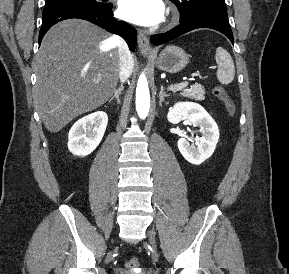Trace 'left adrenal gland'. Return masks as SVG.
I'll list each match as a JSON object with an SVG mask.
<instances>
[{
  "mask_svg": "<svg viewBox=\"0 0 289 274\" xmlns=\"http://www.w3.org/2000/svg\"><path fill=\"white\" fill-rule=\"evenodd\" d=\"M165 97H169V94L164 92L163 86H161V90L159 93V105L162 106V103L164 102Z\"/></svg>",
  "mask_w": 289,
  "mask_h": 274,
  "instance_id": "1",
  "label": "left adrenal gland"
}]
</instances>
